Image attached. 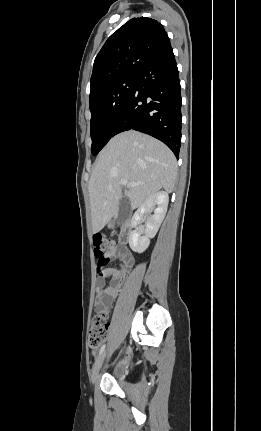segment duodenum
Returning a JSON list of instances; mask_svg holds the SVG:
<instances>
[{"mask_svg":"<svg viewBox=\"0 0 261 431\" xmlns=\"http://www.w3.org/2000/svg\"><path fill=\"white\" fill-rule=\"evenodd\" d=\"M130 239V222L126 221L121 229L120 240L122 243L127 244Z\"/></svg>","mask_w":261,"mask_h":431,"instance_id":"obj_1","label":"duodenum"}]
</instances>
